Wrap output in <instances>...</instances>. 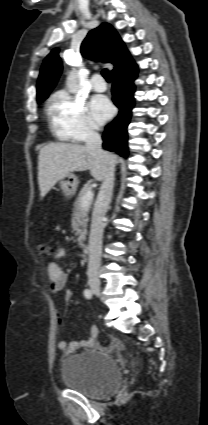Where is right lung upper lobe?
I'll return each instance as SVG.
<instances>
[{"mask_svg":"<svg viewBox=\"0 0 208 425\" xmlns=\"http://www.w3.org/2000/svg\"><path fill=\"white\" fill-rule=\"evenodd\" d=\"M58 49H53L44 59L37 82V101H44L55 87L62 71ZM81 53L91 60L112 63L111 74L122 71L135 62L126 49L117 31L109 24L102 23L91 30L81 45Z\"/></svg>","mask_w":208,"mask_h":425,"instance_id":"cb5924a9","label":"right lung upper lobe"}]
</instances>
